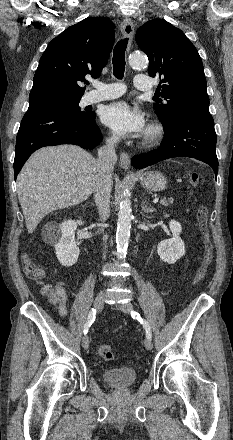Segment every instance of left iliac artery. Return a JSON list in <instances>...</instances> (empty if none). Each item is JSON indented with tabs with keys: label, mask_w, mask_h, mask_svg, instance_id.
<instances>
[{
	"label": "left iliac artery",
	"mask_w": 233,
	"mask_h": 440,
	"mask_svg": "<svg viewBox=\"0 0 233 440\" xmlns=\"http://www.w3.org/2000/svg\"><path fill=\"white\" fill-rule=\"evenodd\" d=\"M131 316L133 319H137L143 325V327L146 331L147 339H152V333L150 330L149 323L145 319L141 318V316L135 311H131Z\"/></svg>",
	"instance_id": "1"
}]
</instances>
